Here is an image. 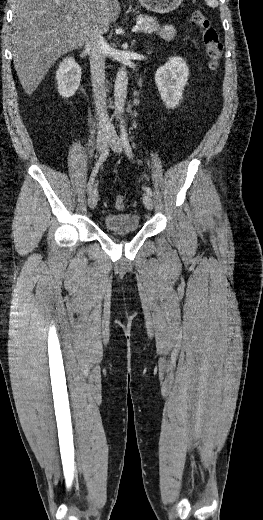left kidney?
<instances>
[{
	"label": "left kidney",
	"instance_id": "left-kidney-1",
	"mask_svg": "<svg viewBox=\"0 0 263 520\" xmlns=\"http://www.w3.org/2000/svg\"><path fill=\"white\" fill-rule=\"evenodd\" d=\"M189 68L179 57L170 58L166 64L157 69L155 82L161 99L168 108H176L187 84Z\"/></svg>",
	"mask_w": 263,
	"mask_h": 520
}]
</instances>
